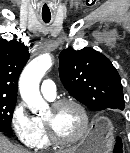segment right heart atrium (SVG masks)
I'll return each mask as SVG.
<instances>
[{"instance_id": "obj_1", "label": "right heart atrium", "mask_w": 130, "mask_h": 153, "mask_svg": "<svg viewBox=\"0 0 130 153\" xmlns=\"http://www.w3.org/2000/svg\"><path fill=\"white\" fill-rule=\"evenodd\" d=\"M10 123L18 141L26 146H34L36 140L33 117H31L22 101H18L10 115Z\"/></svg>"}]
</instances>
